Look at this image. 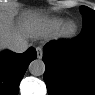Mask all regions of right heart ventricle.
<instances>
[{
    "instance_id": "obj_1",
    "label": "right heart ventricle",
    "mask_w": 95,
    "mask_h": 95,
    "mask_svg": "<svg viewBox=\"0 0 95 95\" xmlns=\"http://www.w3.org/2000/svg\"><path fill=\"white\" fill-rule=\"evenodd\" d=\"M64 24L63 19L61 18H49L42 22V28L47 32L58 31Z\"/></svg>"
}]
</instances>
